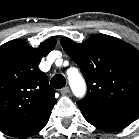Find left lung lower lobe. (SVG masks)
Here are the masks:
<instances>
[{"mask_svg": "<svg viewBox=\"0 0 139 139\" xmlns=\"http://www.w3.org/2000/svg\"><path fill=\"white\" fill-rule=\"evenodd\" d=\"M85 119L95 127L108 132L121 130L139 115V107L115 111H98L79 107Z\"/></svg>", "mask_w": 139, "mask_h": 139, "instance_id": "left-lung-lower-lobe-1", "label": "left lung lower lobe"}]
</instances>
